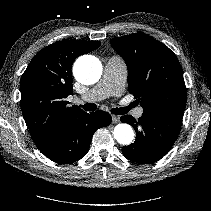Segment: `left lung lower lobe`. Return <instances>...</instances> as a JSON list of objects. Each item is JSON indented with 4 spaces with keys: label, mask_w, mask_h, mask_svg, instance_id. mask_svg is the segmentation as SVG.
<instances>
[{
    "label": "left lung lower lobe",
    "mask_w": 211,
    "mask_h": 211,
    "mask_svg": "<svg viewBox=\"0 0 211 211\" xmlns=\"http://www.w3.org/2000/svg\"><path fill=\"white\" fill-rule=\"evenodd\" d=\"M183 114V111L158 110L143 112L138 120L131 115L122 116L121 122L132 125L136 131V140L122 148L123 155L140 164L161 159L178 137Z\"/></svg>",
    "instance_id": "obj_1"
}]
</instances>
